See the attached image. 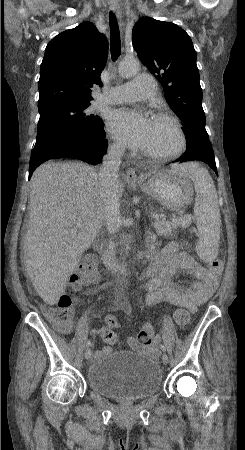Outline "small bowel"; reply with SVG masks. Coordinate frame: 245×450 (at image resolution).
I'll list each match as a JSON object with an SVG mask.
<instances>
[{"label":"small bowel","mask_w":245,"mask_h":450,"mask_svg":"<svg viewBox=\"0 0 245 450\" xmlns=\"http://www.w3.org/2000/svg\"><path fill=\"white\" fill-rule=\"evenodd\" d=\"M147 255L151 259L150 265L143 274L144 283L142 288L147 291L145 298L146 305H154L164 301L173 305L183 306L191 313L197 312L198 307L203 304L211 294L216 290L219 283L220 271H212L211 268L201 267L191 256L180 252V244L175 241L167 243L161 249L153 235L147 239ZM185 272L196 278V282L191 286L184 288L180 286L175 277L179 272ZM96 289L86 291L87 295L94 294ZM121 307V304H117ZM118 322L111 328H117ZM102 330H92L97 333ZM157 343L160 337H156ZM130 346H135L133 339L129 340ZM112 352L110 346L102 347L97 355H108Z\"/></svg>","instance_id":"small-bowel-1"}]
</instances>
